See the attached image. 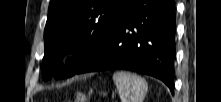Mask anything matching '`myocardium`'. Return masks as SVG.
Returning <instances> with one entry per match:
<instances>
[{
  "label": "myocardium",
  "instance_id": "f54148a6",
  "mask_svg": "<svg viewBox=\"0 0 221 102\" xmlns=\"http://www.w3.org/2000/svg\"><path fill=\"white\" fill-rule=\"evenodd\" d=\"M77 50V46H73L72 48H71V51L72 52H75Z\"/></svg>",
  "mask_w": 221,
  "mask_h": 102
}]
</instances>
